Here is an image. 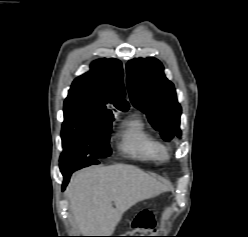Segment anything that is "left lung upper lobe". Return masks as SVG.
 <instances>
[{
    "mask_svg": "<svg viewBox=\"0 0 248 237\" xmlns=\"http://www.w3.org/2000/svg\"><path fill=\"white\" fill-rule=\"evenodd\" d=\"M127 86L135 107L142 110L163 139L181 136V106L172 82L164 75L161 62L155 58H137L127 64Z\"/></svg>",
    "mask_w": 248,
    "mask_h": 237,
    "instance_id": "obj_1",
    "label": "left lung upper lobe"
}]
</instances>
